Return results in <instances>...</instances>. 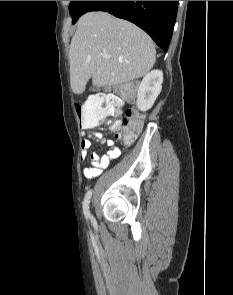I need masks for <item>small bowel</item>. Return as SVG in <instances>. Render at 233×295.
<instances>
[{
    "label": "small bowel",
    "instance_id": "c3829d8e",
    "mask_svg": "<svg viewBox=\"0 0 233 295\" xmlns=\"http://www.w3.org/2000/svg\"><path fill=\"white\" fill-rule=\"evenodd\" d=\"M84 134L86 138L83 139L81 142L82 160H85L87 158L88 151L91 148L93 141L100 142V143L106 142L103 134L93 129H90V128L85 129ZM108 145H109V149L105 155L100 157L96 152H92L90 154L89 166L83 170V175L86 178L91 179L98 176L102 172V170L108 167L109 163L112 160H115L120 156L121 151L117 146L113 145L111 142H108Z\"/></svg>",
    "mask_w": 233,
    "mask_h": 295
}]
</instances>
